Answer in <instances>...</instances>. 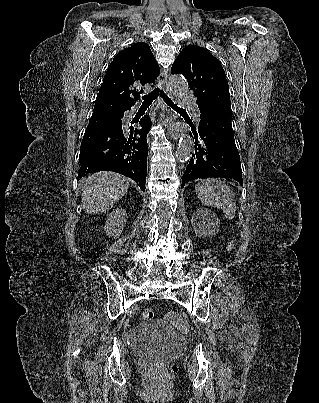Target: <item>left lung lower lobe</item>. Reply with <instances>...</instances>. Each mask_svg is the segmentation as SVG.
<instances>
[{
    "instance_id": "left-lung-lower-lobe-1",
    "label": "left lung lower lobe",
    "mask_w": 319,
    "mask_h": 403,
    "mask_svg": "<svg viewBox=\"0 0 319 403\" xmlns=\"http://www.w3.org/2000/svg\"><path fill=\"white\" fill-rule=\"evenodd\" d=\"M199 109V140L193 128L195 153L184 172L182 187L191 180L207 177L231 178L242 185L240 157L231 125V108L208 106Z\"/></svg>"
}]
</instances>
